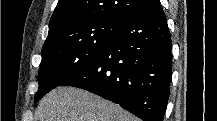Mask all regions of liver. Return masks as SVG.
Returning a JSON list of instances; mask_svg holds the SVG:
<instances>
[{
  "label": "liver",
  "instance_id": "obj_1",
  "mask_svg": "<svg viewBox=\"0 0 217 121\" xmlns=\"http://www.w3.org/2000/svg\"><path fill=\"white\" fill-rule=\"evenodd\" d=\"M35 121H138L110 101L86 90L58 87L49 92L35 111Z\"/></svg>",
  "mask_w": 217,
  "mask_h": 121
}]
</instances>
